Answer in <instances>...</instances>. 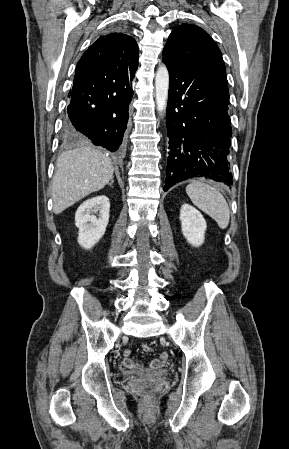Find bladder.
<instances>
[{"label":"bladder","instance_id":"obj_1","mask_svg":"<svg viewBox=\"0 0 289 449\" xmlns=\"http://www.w3.org/2000/svg\"><path fill=\"white\" fill-rule=\"evenodd\" d=\"M170 370L160 369L154 371L148 370H133V371H123L121 376L123 378H136V377H166L170 375Z\"/></svg>","mask_w":289,"mask_h":449}]
</instances>
